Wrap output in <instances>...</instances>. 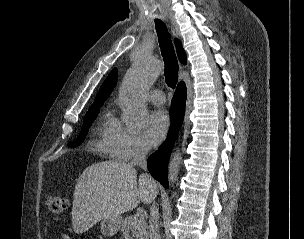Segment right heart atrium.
I'll return each mask as SVG.
<instances>
[{
  "mask_svg": "<svg viewBox=\"0 0 304 239\" xmlns=\"http://www.w3.org/2000/svg\"><path fill=\"white\" fill-rule=\"evenodd\" d=\"M109 152L120 160H130L144 155L148 148L143 137L136 131L114 121L106 141Z\"/></svg>",
  "mask_w": 304,
  "mask_h": 239,
  "instance_id": "obj_1",
  "label": "right heart atrium"
}]
</instances>
